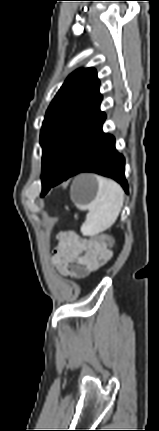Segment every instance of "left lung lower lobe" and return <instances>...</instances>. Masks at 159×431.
I'll list each match as a JSON object with an SVG mask.
<instances>
[{"instance_id":"1","label":"left lung lower lobe","mask_w":159,"mask_h":431,"mask_svg":"<svg viewBox=\"0 0 159 431\" xmlns=\"http://www.w3.org/2000/svg\"><path fill=\"white\" fill-rule=\"evenodd\" d=\"M104 121L105 114L76 136L57 175L42 192V196L51 187L81 172H94L113 178L128 192L124 157L115 149V138L102 131Z\"/></svg>"}]
</instances>
